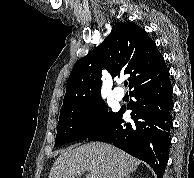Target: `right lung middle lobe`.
<instances>
[{"mask_svg":"<svg viewBox=\"0 0 194 178\" xmlns=\"http://www.w3.org/2000/svg\"><path fill=\"white\" fill-rule=\"evenodd\" d=\"M112 114L113 112L107 113V106L102 98L80 108L60 113L54 147L88 138Z\"/></svg>","mask_w":194,"mask_h":178,"instance_id":"obj_1","label":"right lung middle lobe"}]
</instances>
